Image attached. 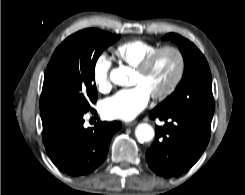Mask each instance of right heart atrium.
<instances>
[{"instance_id":"d8ad5b80","label":"right heart atrium","mask_w":245,"mask_h":195,"mask_svg":"<svg viewBox=\"0 0 245 195\" xmlns=\"http://www.w3.org/2000/svg\"><path fill=\"white\" fill-rule=\"evenodd\" d=\"M112 63L110 59L104 55H99L94 61L92 67V80L96 89L101 93H107L112 87L110 80V70Z\"/></svg>"}]
</instances>
